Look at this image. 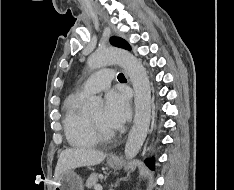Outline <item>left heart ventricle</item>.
Here are the masks:
<instances>
[{
    "instance_id": "1",
    "label": "left heart ventricle",
    "mask_w": 234,
    "mask_h": 190,
    "mask_svg": "<svg viewBox=\"0 0 234 190\" xmlns=\"http://www.w3.org/2000/svg\"><path fill=\"white\" fill-rule=\"evenodd\" d=\"M95 121H97L98 123H100L101 125H103L104 127L108 128V129H112L105 121L104 118V109L100 108L98 110H96L94 113H92L90 115Z\"/></svg>"
}]
</instances>
